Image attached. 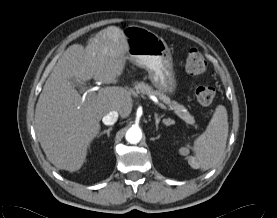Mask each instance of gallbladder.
<instances>
[{
    "mask_svg": "<svg viewBox=\"0 0 277 218\" xmlns=\"http://www.w3.org/2000/svg\"><path fill=\"white\" fill-rule=\"evenodd\" d=\"M69 81L78 89H82L85 86V82L78 81L75 77L69 79Z\"/></svg>",
    "mask_w": 277,
    "mask_h": 218,
    "instance_id": "gallbladder-1",
    "label": "gallbladder"
}]
</instances>
